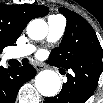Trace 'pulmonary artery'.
Listing matches in <instances>:
<instances>
[{
	"label": "pulmonary artery",
	"instance_id": "1",
	"mask_svg": "<svg viewBox=\"0 0 103 103\" xmlns=\"http://www.w3.org/2000/svg\"><path fill=\"white\" fill-rule=\"evenodd\" d=\"M66 28V20L63 16L52 15L48 18V42L58 41L64 34ZM35 51V46L25 44L17 46L10 51L11 58H22L32 54Z\"/></svg>",
	"mask_w": 103,
	"mask_h": 103
}]
</instances>
